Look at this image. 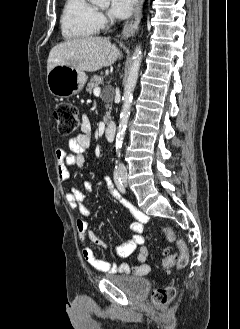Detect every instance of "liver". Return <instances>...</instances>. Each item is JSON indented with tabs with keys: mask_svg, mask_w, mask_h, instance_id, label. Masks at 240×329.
<instances>
[{
	"mask_svg": "<svg viewBox=\"0 0 240 329\" xmlns=\"http://www.w3.org/2000/svg\"><path fill=\"white\" fill-rule=\"evenodd\" d=\"M122 53L108 38L85 37L54 46L47 60V72L57 65L94 72L121 59Z\"/></svg>",
	"mask_w": 240,
	"mask_h": 329,
	"instance_id": "liver-1",
	"label": "liver"
}]
</instances>
